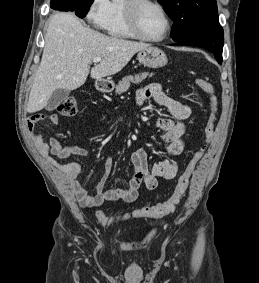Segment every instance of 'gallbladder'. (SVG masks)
<instances>
[{
	"mask_svg": "<svg viewBox=\"0 0 259 283\" xmlns=\"http://www.w3.org/2000/svg\"><path fill=\"white\" fill-rule=\"evenodd\" d=\"M69 94H70L69 90H65V89L55 90L50 96L45 109L48 111H52L56 109L64 100L68 98Z\"/></svg>",
	"mask_w": 259,
	"mask_h": 283,
	"instance_id": "1",
	"label": "gallbladder"
}]
</instances>
